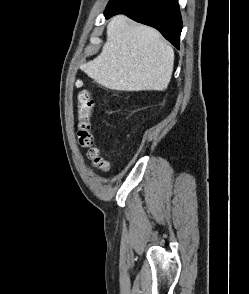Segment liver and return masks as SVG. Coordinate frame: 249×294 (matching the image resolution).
<instances>
[{
	"label": "liver",
	"instance_id": "6515ba94",
	"mask_svg": "<svg viewBox=\"0 0 249 294\" xmlns=\"http://www.w3.org/2000/svg\"><path fill=\"white\" fill-rule=\"evenodd\" d=\"M174 51L161 34L124 15L107 25L102 52L81 69L100 85L118 91H162L171 80Z\"/></svg>",
	"mask_w": 249,
	"mask_h": 294
}]
</instances>
